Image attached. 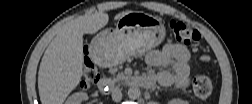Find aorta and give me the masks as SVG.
I'll return each mask as SVG.
<instances>
[{
	"label": "aorta",
	"mask_w": 252,
	"mask_h": 104,
	"mask_svg": "<svg viewBox=\"0 0 252 104\" xmlns=\"http://www.w3.org/2000/svg\"><path fill=\"white\" fill-rule=\"evenodd\" d=\"M127 94L130 99L136 100L140 97L141 91L138 87H130Z\"/></svg>",
	"instance_id": "aorta-1"
}]
</instances>
